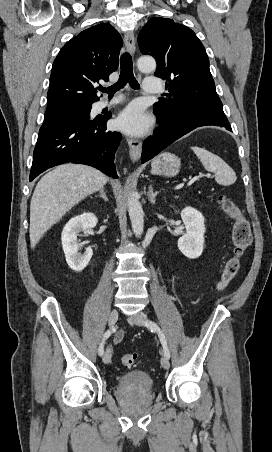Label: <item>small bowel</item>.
I'll return each mask as SVG.
<instances>
[{
    "instance_id": "1",
    "label": "small bowel",
    "mask_w": 272,
    "mask_h": 452,
    "mask_svg": "<svg viewBox=\"0 0 272 452\" xmlns=\"http://www.w3.org/2000/svg\"><path fill=\"white\" fill-rule=\"evenodd\" d=\"M124 333L122 331L118 332L114 337V343L119 344L123 339Z\"/></svg>"
}]
</instances>
